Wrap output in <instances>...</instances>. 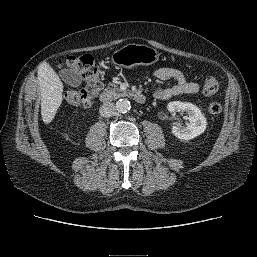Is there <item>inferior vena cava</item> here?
Segmentation results:
<instances>
[{
	"mask_svg": "<svg viewBox=\"0 0 257 257\" xmlns=\"http://www.w3.org/2000/svg\"><path fill=\"white\" fill-rule=\"evenodd\" d=\"M99 112L103 117H111L116 112V106L112 102H105L101 105Z\"/></svg>",
	"mask_w": 257,
	"mask_h": 257,
	"instance_id": "inferior-vena-cava-1",
	"label": "inferior vena cava"
}]
</instances>
